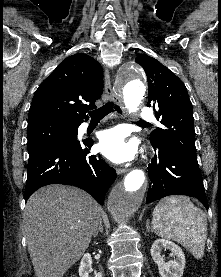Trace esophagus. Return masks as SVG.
<instances>
[{
  "label": "esophagus",
  "mask_w": 221,
  "mask_h": 277,
  "mask_svg": "<svg viewBox=\"0 0 221 277\" xmlns=\"http://www.w3.org/2000/svg\"><path fill=\"white\" fill-rule=\"evenodd\" d=\"M105 91L108 95V97L110 98V100H112L113 102H115L116 104L122 106V98L120 95H118L113 87H112V83H111V79H110V72L109 69H105ZM127 170L124 168H118L116 169V172L118 175L125 173Z\"/></svg>",
  "instance_id": "obj_1"
}]
</instances>
